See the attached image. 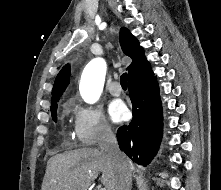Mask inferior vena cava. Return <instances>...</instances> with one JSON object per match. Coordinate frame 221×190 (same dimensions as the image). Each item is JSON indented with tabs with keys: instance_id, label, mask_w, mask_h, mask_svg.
Returning <instances> with one entry per match:
<instances>
[{
	"instance_id": "obj_1",
	"label": "inferior vena cava",
	"mask_w": 221,
	"mask_h": 190,
	"mask_svg": "<svg viewBox=\"0 0 221 190\" xmlns=\"http://www.w3.org/2000/svg\"><path fill=\"white\" fill-rule=\"evenodd\" d=\"M99 147L101 152L112 161L118 171L119 178L115 190H131L130 163L120 151L116 136L108 126L104 127L102 131Z\"/></svg>"
}]
</instances>
